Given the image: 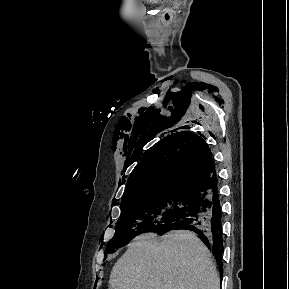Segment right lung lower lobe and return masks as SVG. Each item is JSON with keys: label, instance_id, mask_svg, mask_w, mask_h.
<instances>
[{"label": "right lung lower lobe", "instance_id": "right-lung-lower-lobe-1", "mask_svg": "<svg viewBox=\"0 0 289 289\" xmlns=\"http://www.w3.org/2000/svg\"><path fill=\"white\" fill-rule=\"evenodd\" d=\"M197 200L192 209L182 218L168 224L165 228L154 231L162 235L176 229L191 230L208 246L216 257L220 273H223L221 254L223 237L221 226V205L217 191V182L205 191L196 194Z\"/></svg>", "mask_w": 289, "mask_h": 289}]
</instances>
